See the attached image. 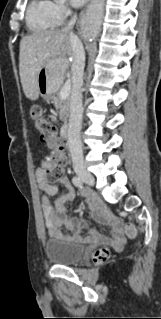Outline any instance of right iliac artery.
I'll return each mask as SVG.
<instances>
[{"label": "right iliac artery", "mask_w": 161, "mask_h": 319, "mask_svg": "<svg viewBox=\"0 0 161 319\" xmlns=\"http://www.w3.org/2000/svg\"><path fill=\"white\" fill-rule=\"evenodd\" d=\"M72 182H73V184L76 186V187H78V188H82V181H81V179L79 178V177H77V176H74L73 178H72Z\"/></svg>", "instance_id": "82829eb1"}]
</instances>
